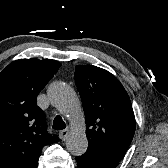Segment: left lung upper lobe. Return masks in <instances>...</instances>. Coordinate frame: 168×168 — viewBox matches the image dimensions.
<instances>
[{"label": "left lung upper lobe", "instance_id": "1", "mask_svg": "<svg viewBox=\"0 0 168 168\" xmlns=\"http://www.w3.org/2000/svg\"><path fill=\"white\" fill-rule=\"evenodd\" d=\"M75 69L86 118L88 148L120 161L135 133L130 98L107 70L92 65H77Z\"/></svg>", "mask_w": 168, "mask_h": 168}]
</instances>
